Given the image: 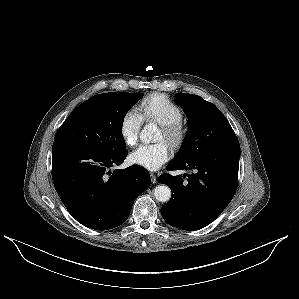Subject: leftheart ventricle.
Masks as SVG:
<instances>
[{"label":"left heart ventricle","mask_w":299,"mask_h":299,"mask_svg":"<svg viewBox=\"0 0 299 299\" xmlns=\"http://www.w3.org/2000/svg\"><path fill=\"white\" fill-rule=\"evenodd\" d=\"M159 139H164V132H163V130L161 129L160 130V134H159V137H158Z\"/></svg>","instance_id":"b2bd125f"}]
</instances>
